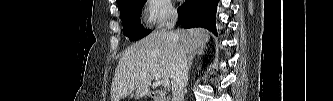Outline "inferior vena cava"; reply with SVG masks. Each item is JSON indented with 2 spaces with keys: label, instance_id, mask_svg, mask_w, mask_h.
<instances>
[{
  "label": "inferior vena cava",
  "instance_id": "1",
  "mask_svg": "<svg viewBox=\"0 0 333 101\" xmlns=\"http://www.w3.org/2000/svg\"><path fill=\"white\" fill-rule=\"evenodd\" d=\"M177 22V13L172 12L164 24L166 30L173 29ZM177 63L172 77V101H184V87L188 81V59L184 49L177 44Z\"/></svg>",
  "mask_w": 333,
  "mask_h": 101
}]
</instances>
